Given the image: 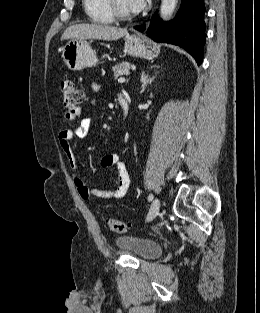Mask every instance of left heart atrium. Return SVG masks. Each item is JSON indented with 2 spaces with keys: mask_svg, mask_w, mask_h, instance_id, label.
Wrapping results in <instances>:
<instances>
[{
  "mask_svg": "<svg viewBox=\"0 0 260 313\" xmlns=\"http://www.w3.org/2000/svg\"><path fill=\"white\" fill-rule=\"evenodd\" d=\"M129 2H130L132 10L134 12H139L146 7L149 0H129Z\"/></svg>",
  "mask_w": 260,
  "mask_h": 313,
  "instance_id": "obj_1",
  "label": "left heart atrium"
}]
</instances>
